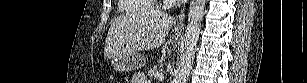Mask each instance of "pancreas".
Wrapping results in <instances>:
<instances>
[{
  "instance_id": "1",
  "label": "pancreas",
  "mask_w": 307,
  "mask_h": 83,
  "mask_svg": "<svg viewBox=\"0 0 307 83\" xmlns=\"http://www.w3.org/2000/svg\"><path fill=\"white\" fill-rule=\"evenodd\" d=\"M162 73V69L160 68H157L156 66H154L153 68H151L149 71H148V76L152 77V78H157V76L159 74Z\"/></svg>"
}]
</instances>
